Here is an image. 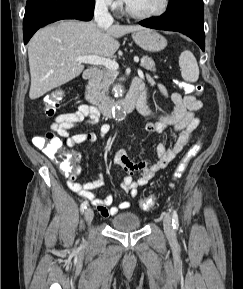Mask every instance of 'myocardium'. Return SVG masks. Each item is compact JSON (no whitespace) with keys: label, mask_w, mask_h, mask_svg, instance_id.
I'll list each match as a JSON object with an SVG mask.
<instances>
[{"label":"myocardium","mask_w":243,"mask_h":289,"mask_svg":"<svg viewBox=\"0 0 243 289\" xmlns=\"http://www.w3.org/2000/svg\"><path fill=\"white\" fill-rule=\"evenodd\" d=\"M169 5H170V0H162L161 5L157 10L149 12V13H137L131 10L126 2L124 10H125V13L132 18L151 19V18H155L164 14L168 10Z\"/></svg>","instance_id":"1"}]
</instances>
